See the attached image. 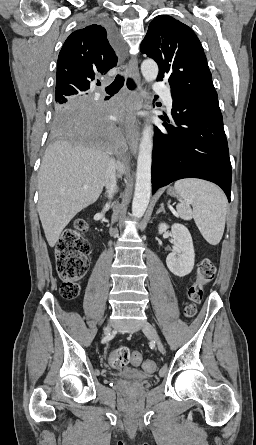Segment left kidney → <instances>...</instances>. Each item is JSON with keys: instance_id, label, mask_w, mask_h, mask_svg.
Instances as JSON below:
<instances>
[{"instance_id": "1", "label": "left kidney", "mask_w": 256, "mask_h": 445, "mask_svg": "<svg viewBox=\"0 0 256 445\" xmlns=\"http://www.w3.org/2000/svg\"><path fill=\"white\" fill-rule=\"evenodd\" d=\"M168 228L169 226L165 223L159 224V234L166 232ZM171 233L175 242V249L167 256L166 264L173 274L184 277L194 267L195 252L192 237L189 230L179 223L171 226Z\"/></svg>"}]
</instances>
